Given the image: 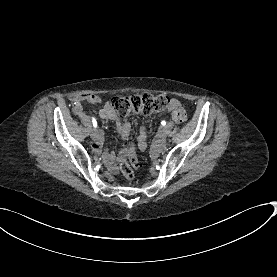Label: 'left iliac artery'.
<instances>
[{
    "label": "left iliac artery",
    "mask_w": 277,
    "mask_h": 277,
    "mask_svg": "<svg viewBox=\"0 0 277 277\" xmlns=\"http://www.w3.org/2000/svg\"><path fill=\"white\" fill-rule=\"evenodd\" d=\"M161 125H163V126L166 125V121L163 120V121L161 122Z\"/></svg>",
    "instance_id": "1"
}]
</instances>
